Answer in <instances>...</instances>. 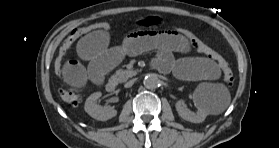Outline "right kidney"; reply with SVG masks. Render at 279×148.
Instances as JSON below:
<instances>
[{
	"label": "right kidney",
	"mask_w": 279,
	"mask_h": 148,
	"mask_svg": "<svg viewBox=\"0 0 279 148\" xmlns=\"http://www.w3.org/2000/svg\"><path fill=\"white\" fill-rule=\"evenodd\" d=\"M102 96L101 92L91 94L85 101L84 110L92 118L100 121L109 120L117 115V111L112 107L99 106L96 104L97 99Z\"/></svg>",
	"instance_id": "1"
}]
</instances>
